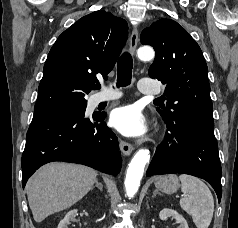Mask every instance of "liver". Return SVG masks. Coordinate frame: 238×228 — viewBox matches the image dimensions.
Wrapping results in <instances>:
<instances>
[{"label":"liver","mask_w":238,"mask_h":228,"mask_svg":"<svg viewBox=\"0 0 238 228\" xmlns=\"http://www.w3.org/2000/svg\"><path fill=\"white\" fill-rule=\"evenodd\" d=\"M97 172L82 165L49 163L27 182L26 193L34 220L65 210L82 199L96 181Z\"/></svg>","instance_id":"1"}]
</instances>
